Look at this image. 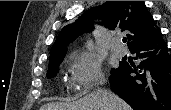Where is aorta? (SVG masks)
<instances>
[{
  "mask_svg": "<svg viewBox=\"0 0 171 110\" xmlns=\"http://www.w3.org/2000/svg\"><path fill=\"white\" fill-rule=\"evenodd\" d=\"M86 48H87V51L88 52H91L93 50V44H92V42H88L86 44Z\"/></svg>",
  "mask_w": 171,
  "mask_h": 110,
  "instance_id": "762f6f07",
  "label": "aorta"
}]
</instances>
